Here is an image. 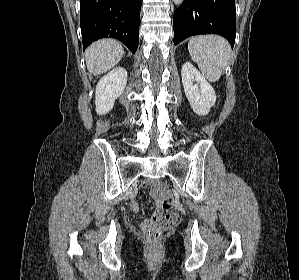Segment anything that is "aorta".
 Returning a JSON list of instances; mask_svg holds the SVG:
<instances>
[{
	"label": "aorta",
	"mask_w": 299,
	"mask_h": 280,
	"mask_svg": "<svg viewBox=\"0 0 299 280\" xmlns=\"http://www.w3.org/2000/svg\"><path fill=\"white\" fill-rule=\"evenodd\" d=\"M176 5H181L184 0H173Z\"/></svg>",
	"instance_id": "1"
}]
</instances>
